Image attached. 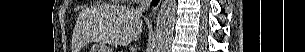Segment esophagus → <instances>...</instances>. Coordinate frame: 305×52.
I'll list each match as a JSON object with an SVG mask.
<instances>
[{
  "label": "esophagus",
  "instance_id": "34e87169",
  "mask_svg": "<svg viewBox=\"0 0 305 52\" xmlns=\"http://www.w3.org/2000/svg\"><path fill=\"white\" fill-rule=\"evenodd\" d=\"M155 14V10L153 9L152 12L150 13V17H153Z\"/></svg>",
  "mask_w": 305,
  "mask_h": 52
}]
</instances>
